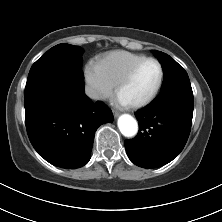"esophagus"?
<instances>
[{
    "instance_id": "obj_1",
    "label": "esophagus",
    "mask_w": 222,
    "mask_h": 222,
    "mask_svg": "<svg viewBox=\"0 0 222 222\" xmlns=\"http://www.w3.org/2000/svg\"><path fill=\"white\" fill-rule=\"evenodd\" d=\"M113 115H114V117L116 118V117H118V116H119V113H118V112H116V111H114V112H113Z\"/></svg>"
}]
</instances>
